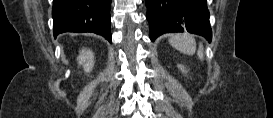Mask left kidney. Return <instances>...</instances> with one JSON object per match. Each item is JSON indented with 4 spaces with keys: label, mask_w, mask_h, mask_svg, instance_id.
Instances as JSON below:
<instances>
[{
    "label": "left kidney",
    "mask_w": 273,
    "mask_h": 118,
    "mask_svg": "<svg viewBox=\"0 0 273 118\" xmlns=\"http://www.w3.org/2000/svg\"><path fill=\"white\" fill-rule=\"evenodd\" d=\"M178 68H180L183 73H187L183 65H178Z\"/></svg>",
    "instance_id": "1"
}]
</instances>
